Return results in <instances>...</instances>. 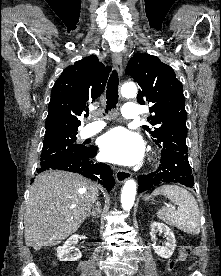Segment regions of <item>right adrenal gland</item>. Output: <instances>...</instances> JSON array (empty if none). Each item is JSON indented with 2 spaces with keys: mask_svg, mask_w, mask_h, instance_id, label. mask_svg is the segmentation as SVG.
<instances>
[{
  "mask_svg": "<svg viewBox=\"0 0 221 276\" xmlns=\"http://www.w3.org/2000/svg\"><path fill=\"white\" fill-rule=\"evenodd\" d=\"M100 214V208L96 205L93 208V211L87 215V217H93V218H98Z\"/></svg>",
  "mask_w": 221,
  "mask_h": 276,
  "instance_id": "obj_1",
  "label": "right adrenal gland"
}]
</instances>
